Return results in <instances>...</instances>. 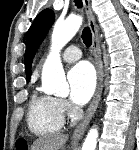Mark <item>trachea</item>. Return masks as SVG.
Masks as SVG:
<instances>
[{
  "mask_svg": "<svg viewBox=\"0 0 139 150\" xmlns=\"http://www.w3.org/2000/svg\"><path fill=\"white\" fill-rule=\"evenodd\" d=\"M75 2V5L78 7V8H82L83 6V3H82V0H74ZM82 39H83V42L86 46H91L92 44V34H91V30L89 27H85L82 31Z\"/></svg>",
  "mask_w": 139,
  "mask_h": 150,
  "instance_id": "trachea-1",
  "label": "trachea"
}]
</instances>
